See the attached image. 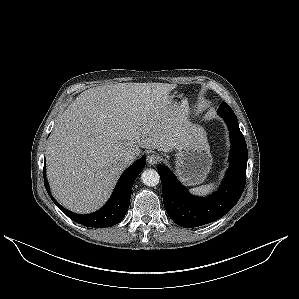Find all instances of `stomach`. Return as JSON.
Here are the masks:
<instances>
[{
	"mask_svg": "<svg viewBox=\"0 0 299 299\" xmlns=\"http://www.w3.org/2000/svg\"><path fill=\"white\" fill-rule=\"evenodd\" d=\"M171 98L176 103L187 100L182 92L174 91ZM187 140L176 154V173L179 179L188 186L198 185L204 182L211 166L212 155L207 143L204 130L190 124Z\"/></svg>",
	"mask_w": 299,
	"mask_h": 299,
	"instance_id": "0dacf381",
	"label": "stomach"
}]
</instances>
